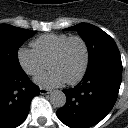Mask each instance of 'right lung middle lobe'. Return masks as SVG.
Instances as JSON below:
<instances>
[{"label":"right lung middle lobe","mask_w":128,"mask_h":128,"mask_svg":"<svg viewBox=\"0 0 128 128\" xmlns=\"http://www.w3.org/2000/svg\"><path fill=\"white\" fill-rule=\"evenodd\" d=\"M36 31L0 24V69L11 72L22 70L17 52L20 46Z\"/></svg>","instance_id":"obj_1"}]
</instances>
